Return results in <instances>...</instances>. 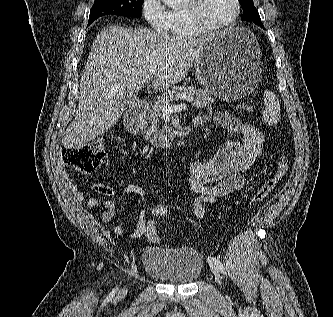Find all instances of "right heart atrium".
<instances>
[{"label": "right heart atrium", "mask_w": 333, "mask_h": 317, "mask_svg": "<svg viewBox=\"0 0 333 317\" xmlns=\"http://www.w3.org/2000/svg\"><path fill=\"white\" fill-rule=\"evenodd\" d=\"M141 12L150 27L157 31H167L169 26L168 11L160 0H142Z\"/></svg>", "instance_id": "obj_1"}]
</instances>
